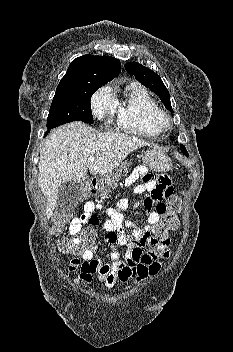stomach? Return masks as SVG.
I'll list each match as a JSON object with an SVG mask.
<instances>
[{
  "label": "stomach",
  "instance_id": "1",
  "mask_svg": "<svg viewBox=\"0 0 233 352\" xmlns=\"http://www.w3.org/2000/svg\"><path fill=\"white\" fill-rule=\"evenodd\" d=\"M145 165L156 172L167 171L171 166L170 158L162 151L152 148L143 155ZM127 163H123L120 167L112 172L100 176L97 180V188L102 193H109L115 189L120 180L121 172Z\"/></svg>",
  "mask_w": 233,
  "mask_h": 352
}]
</instances>
